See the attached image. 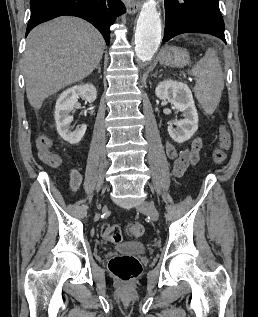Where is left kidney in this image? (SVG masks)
Listing matches in <instances>:
<instances>
[{"mask_svg":"<svg viewBox=\"0 0 258 317\" xmlns=\"http://www.w3.org/2000/svg\"><path fill=\"white\" fill-rule=\"evenodd\" d=\"M155 94L158 98H167L168 102L173 104L172 108L181 110L182 116H184L180 120L175 118L174 122L169 124L168 132L171 138L175 142L189 140L198 128L197 108L189 86L185 82H178V80H162L156 86ZM172 124H175L176 128Z\"/></svg>","mask_w":258,"mask_h":317,"instance_id":"1","label":"left kidney"}]
</instances>
